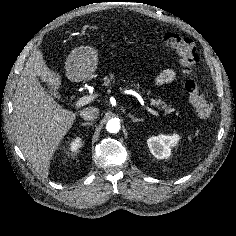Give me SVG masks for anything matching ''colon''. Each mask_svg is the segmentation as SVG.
I'll list each match as a JSON object with an SVG mask.
<instances>
[{"mask_svg":"<svg viewBox=\"0 0 236 236\" xmlns=\"http://www.w3.org/2000/svg\"><path fill=\"white\" fill-rule=\"evenodd\" d=\"M160 40L180 56L183 72L188 77L185 82V89L189 101L200 118H208L212 114L213 106L201 93L199 83L194 77L199 60L195 43L191 39L175 33L163 34Z\"/></svg>","mask_w":236,"mask_h":236,"instance_id":"1","label":"colon"}]
</instances>
